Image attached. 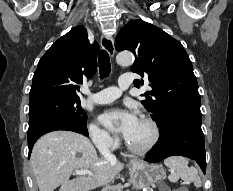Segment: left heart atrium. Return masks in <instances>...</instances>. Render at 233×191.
Instances as JSON below:
<instances>
[{
    "mask_svg": "<svg viewBox=\"0 0 233 191\" xmlns=\"http://www.w3.org/2000/svg\"><path fill=\"white\" fill-rule=\"evenodd\" d=\"M100 121L106 127L119 132L127 139L139 119L133 111L113 110L102 114Z\"/></svg>",
    "mask_w": 233,
    "mask_h": 191,
    "instance_id": "39dd6f15",
    "label": "left heart atrium"
}]
</instances>
